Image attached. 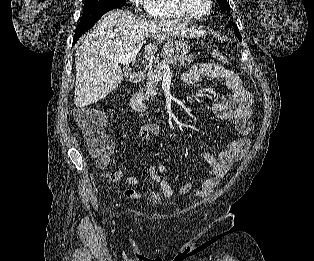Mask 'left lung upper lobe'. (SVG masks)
Listing matches in <instances>:
<instances>
[{
    "label": "left lung upper lobe",
    "mask_w": 314,
    "mask_h": 261,
    "mask_svg": "<svg viewBox=\"0 0 314 261\" xmlns=\"http://www.w3.org/2000/svg\"><path fill=\"white\" fill-rule=\"evenodd\" d=\"M217 1L222 8H225L228 12H230V6H229V3L227 2V0H217ZM233 26H234V33H235L236 37L241 41V34H240L237 26L235 24H233Z\"/></svg>",
    "instance_id": "left-lung-upper-lobe-1"
}]
</instances>
